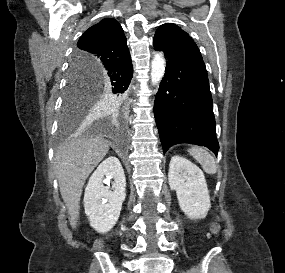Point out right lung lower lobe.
Wrapping results in <instances>:
<instances>
[{
    "mask_svg": "<svg viewBox=\"0 0 285 273\" xmlns=\"http://www.w3.org/2000/svg\"><path fill=\"white\" fill-rule=\"evenodd\" d=\"M94 77L98 87H103L104 90H108L112 94L124 93L133 77L131 57L128 56L122 61L106 64L95 71ZM116 104L117 102H110L108 105L113 108Z\"/></svg>",
    "mask_w": 285,
    "mask_h": 273,
    "instance_id": "1",
    "label": "right lung lower lobe"
}]
</instances>
